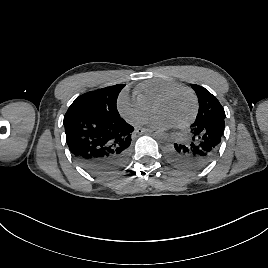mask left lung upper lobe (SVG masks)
<instances>
[{
  "mask_svg": "<svg viewBox=\"0 0 268 268\" xmlns=\"http://www.w3.org/2000/svg\"><path fill=\"white\" fill-rule=\"evenodd\" d=\"M192 88L199 100V111L195 122L190 128L204 123H216L217 119L225 118V111L214 95L204 87L196 84H192Z\"/></svg>",
  "mask_w": 268,
  "mask_h": 268,
  "instance_id": "obj_1",
  "label": "left lung upper lobe"
}]
</instances>
